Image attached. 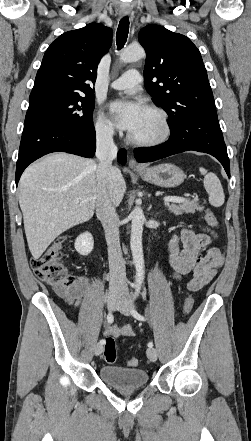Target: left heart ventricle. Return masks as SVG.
I'll use <instances>...</instances> for the list:
<instances>
[{
    "label": "left heart ventricle",
    "instance_id": "left-heart-ventricle-1",
    "mask_svg": "<svg viewBox=\"0 0 251 441\" xmlns=\"http://www.w3.org/2000/svg\"><path fill=\"white\" fill-rule=\"evenodd\" d=\"M162 126L158 115L145 109L137 128L131 132L138 139H152L160 135Z\"/></svg>",
    "mask_w": 251,
    "mask_h": 441
}]
</instances>
